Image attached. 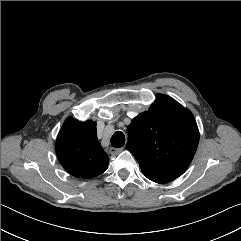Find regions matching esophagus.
I'll return each mask as SVG.
<instances>
[{
  "label": "esophagus",
  "instance_id": "34e87169",
  "mask_svg": "<svg viewBox=\"0 0 241 241\" xmlns=\"http://www.w3.org/2000/svg\"><path fill=\"white\" fill-rule=\"evenodd\" d=\"M123 151V148H114V147H111L110 149H109V152H110V154H112V155H117V154H119L120 152H122Z\"/></svg>",
  "mask_w": 241,
  "mask_h": 241
}]
</instances>
